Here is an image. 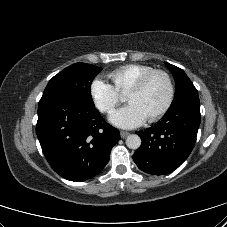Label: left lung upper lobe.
Wrapping results in <instances>:
<instances>
[{
	"instance_id": "5c2ea615",
	"label": "left lung upper lobe",
	"mask_w": 227,
	"mask_h": 227,
	"mask_svg": "<svg viewBox=\"0 0 227 227\" xmlns=\"http://www.w3.org/2000/svg\"><path fill=\"white\" fill-rule=\"evenodd\" d=\"M165 64L175 79V97L171 106L185 97L198 95L197 89L182 69L169 63Z\"/></svg>"
}]
</instances>
